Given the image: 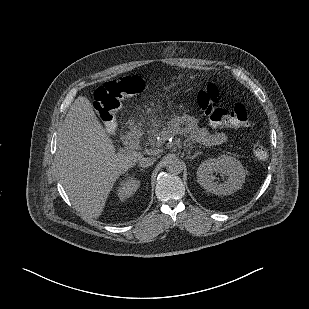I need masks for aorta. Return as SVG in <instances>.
<instances>
[{"label": "aorta", "instance_id": "aorta-1", "mask_svg": "<svg viewBox=\"0 0 309 309\" xmlns=\"http://www.w3.org/2000/svg\"><path fill=\"white\" fill-rule=\"evenodd\" d=\"M184 168L183 162L176 156H169L166 159V169L169 173L178 175Z\"/></svg>", "mask_w": 309, "mask_h": 309}]
</instances>
